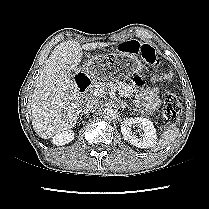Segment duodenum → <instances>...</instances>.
Wrapping results in <instances>:
<instances>
[{
	"label": "duodenum",
	"instance_id": "1",
	"mask_svg": "<svg viewBox=\"0 0 209 209\" xmlns=\"http://www.w3.org/2000/svg\"><path fill=\"white\" fill-rule=\"evenodd\" d=\"M74 83H75L77 89L81 93H84L89 89V87L91 85V80L87 76L79 73L74 76Z\"/></svg>",
	"mask_w": 209,
	"mask_h": 209
}]
</instances>
